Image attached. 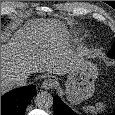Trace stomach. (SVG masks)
Here are the masks:
<instances>
[{
  "label": "stomach",
  "mask_w": 115,
  "mask_h": 115,
  "mask_svg": "<svg viewBox=\"0 0 115 115\" xmlns=\"http://www.w3.org/2000/svg\"><path fill=\"white\" fill-rule=\"evenodd\" d=\"M97 76V66L90 60L82 58L68 73L65 84L68 101L72 104H79L92 97Z\"/></svg>",
  "instance_id": "stomach-1"
}]
</instances>
